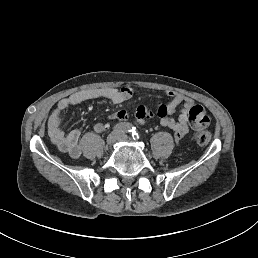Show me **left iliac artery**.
<instances>
[{"label":"left iliac artery","instance_id":"obj_1","mask_svg":"<svg viewBox=\"0 0 258 258\" xmlns=\"http://www.w3.org/2000/svg\"><path fill=\"white\" fill-rule=\"evenodd\" d=\"M131 136L135 141H137L139 139V132L136 127H133V129L131 131Z\"/></svg>","mask_w":258,"mask_h":258}]
</instances>
